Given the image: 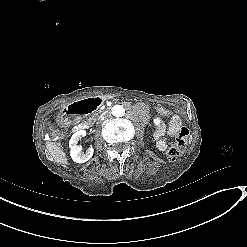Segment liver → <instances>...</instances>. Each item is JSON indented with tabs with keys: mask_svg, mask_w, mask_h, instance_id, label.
<instances>
[{
	"mask_svg": "<svg viewBox=\"0 0 247 247\" xmlns=\"http://www.w3.org/2000/svg\"><path fill=\"white\" fill-rule=\"evenodd\" d=\"M46 149L48 150L52 159L63 166L68 164V159L66 157V153L54 142L47 141L45 143Z\"/></svg>",
	"mask_w": 247,
	"mask_h": 247,
	"instance_id": "1",
	"label": "liver"
}]
</instances>
